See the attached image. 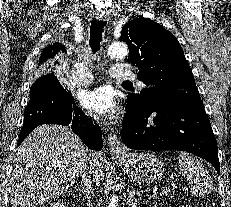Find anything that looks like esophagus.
<instances>
[{
  "instance_id": "1",
  "label": "esophagus",
  "mask_w": 231,
  "mask_h": 207,
  "mask_svg": "<svg viewBox=\"0 0 231 207\" xmlns=\"http://www.w3.org/2000/svg\"><path fill=\"white\" fill-rule=\"evenodd\" d=\"M97 19L101 21H108L109 16L100 14L97 16ZM107 146L110 152L114 154L123 153L126 150L125 146L121 143L118 136L113 131H110L107 135Z\"/></svg>"
}]
</instances>
